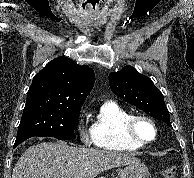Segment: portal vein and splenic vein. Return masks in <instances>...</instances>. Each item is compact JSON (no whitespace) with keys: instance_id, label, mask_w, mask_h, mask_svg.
<instances>
[{"instance_id":"portal-vein-and-splenic-vein-1","label":"portal vein and splenic vein","mask_w":194,"mask_h":178,"mask_svg":"<svg viewBox=\"0 0 194 178\" xmlns=\"http://www.w3.org/2000/svg\"><path fill=\"white\" fill-rule=\"evenodd\" d=\"M62 178H70V175H65Z\"/></svg>"}]
</instances>
